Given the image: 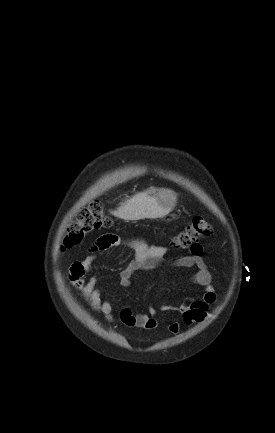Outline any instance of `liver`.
<instances>
[{"label": "liver", "mask_w": 275, "mask_h": 433, "mask_svg": "<svg viewBox=\"0 0 275 433\" xmlns=\"http://www.w3.org/2000/svg\"><path fill=\"white\" fill-rule=\"evenodd\" d=\"M169 212L158 205L155 192L146 191L135 194L112 214L124 220H140L163 217Z\"/></svg>", "instance_id": "6515ba94"}]
</instances>
